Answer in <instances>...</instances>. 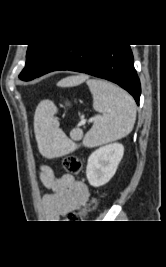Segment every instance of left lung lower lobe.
Masks as SVG:
<instances>
[{
  "label": "left lung lower lobe",
  "mask_w": 166,
  "mask_h": 267,
  "mask_svg": "<svg viewBox=\"0 0 166 267\" xmlns=\"http://www.w3.org/2000/svg\"><path fill=\"white\" fill-rule=\"evenodd\" d=\"M59 70L86 73L112 81L128 91L139 105L141 86L129 45H60L36 78Z\"/></svg>",
  "instance_id": "0a47b994"
}]
</instances>
